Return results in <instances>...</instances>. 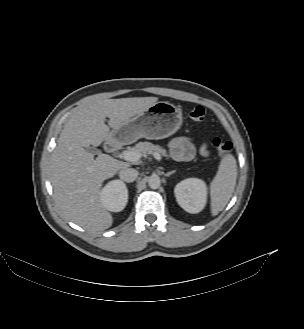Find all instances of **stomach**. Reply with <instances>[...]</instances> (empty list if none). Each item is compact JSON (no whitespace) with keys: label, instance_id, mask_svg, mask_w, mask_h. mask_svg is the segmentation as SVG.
Segmentation results:
<instances>
[{"label":"stomach","instance_id":"stomach-1","mask_svg":"<svg viewBox=\"0 0 304 329\" xmlns=\"http://www.w3.org/2000/svg\"><path fill=\"white\" fill-rule=\"evenodd\" d=\"M182 124L181 109L169 102H156L118 129H112L107 143L131 144L139 138L163 139L174 134Z\"/></svg>","mask_w":304,"mask_h":329}]
</instances>
